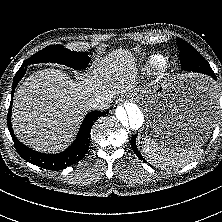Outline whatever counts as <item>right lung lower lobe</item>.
I'll return each mask as SVG.
<instances>
[{
    "mask_svg": "<svg viewBox=\"0 0 222 222\" xmlns=\"http://www.w3.org/2000/svg\"><path fill=\"white\" fill-rule=\"evenodd\" d=\"M29 64L23 63L18 72L15 75L13 86H12V98L15 91V88L18 84V82L23 77L26 66ZM11 107H12V99L10 102V107L8 111V117H7V125L8 129L10 131V134L12 136V139L14 141L15 147L19 155L25 159L26 161L50 170H61L66 168L67 166L73 165L77 162H79L81 159L84 158L86 155L89 144H90V131L93 126V124L96 122V120L106 114V112H90L85 116V119L83 120L80 130L78 132V135L74 142L67 148L65 151L59 153V154H43L36 152L29 147L22 144L13 134V129L11 127Z\"/></svg>",
    "mask_w": 222,
    "mask_h": 222,
    "instance_id": "98d812e1",
    "label": "right lung lower lobe"
}]
</instances>
